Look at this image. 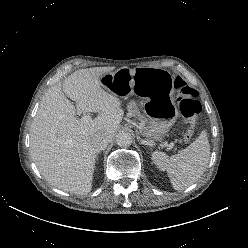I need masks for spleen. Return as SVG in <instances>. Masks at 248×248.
<instances>
[{
	"label": "spleen",
	"mask_w": 248,
	"mask_h": 248,
	"mask_svg": "<svg viewBox=\"0 0 248 248\" xmlns=\"http://www.w3.org/2000/svg\"><path fill=\"white\" fill-rule=\"evenodd\" d=\"M209 158L210 145L205 131L176 155L169 157L159 151L152 154V161L158 169L167 171L171 184L176 190H183L194 184L205 172Z\"/></svg>",
	"instance_id": "spleen-1"
}]
</instances>
